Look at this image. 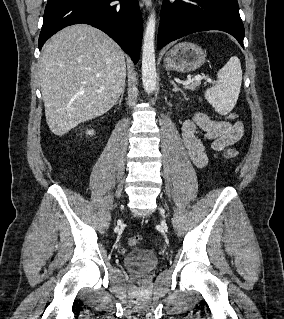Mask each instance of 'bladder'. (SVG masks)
<instances>
[{
	"label": "bladder",
	"instance_id": "bladder-1",
	"mask_svg": "<svg viewBox=\"0 0 284 319\" xmlns=\"http://www.w3.org/2000/svg\"><path fill=\"white\" fill-rule=\"evenodd\" d=\"M123 264L131 273L144 275L158 266V257L156 253L150 249L139 248L125 254Z\"/></svg>",
	"mask_w": 284,
	"mask_h": 319
}]
</instances>
